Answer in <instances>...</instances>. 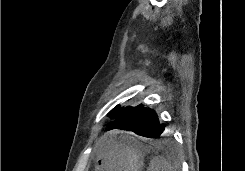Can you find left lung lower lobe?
Returning <instances> with one entry per match:
<instances>
[{"mask_svg": "<svg viewBox=\"0 0 245 171\" xmlns=\"http://www.w3.org/2000/svg\"><path fill=\"white\" fill-rule=\"evenodd\" d=\"M112 129L130 130L144 137L158 139L165 126L160 122L153 109L141 104L131 107L117 122L111 125L109 130Z\"/></svg>", "mask_w": 245, "mask_h": 171, "instance_id": "left-lung-lower-lobe-1", "label": "left lung lower lobe"}]
</instances>
